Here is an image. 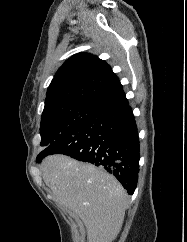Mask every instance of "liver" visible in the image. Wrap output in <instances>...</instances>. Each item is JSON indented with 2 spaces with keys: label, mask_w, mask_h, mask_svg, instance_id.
Wrapping results in <instances>:
<instances>
[{
  "label": "liver",
  "mask_w": 187,
  "mask_h": 242,
  "mask_svg": "<svg viewBox=\"0 0 187 242\" xmlns=\"http://www.w3.org/2000/svg\"><path fill=\"white\" fill-rule=\"evenodd\" d=\"M41 170L56 201L84 222L88 242H112L117 237L128 196L112 175L64 155L47 157Z\"/></svg>",
  "instance_id": "liver-1"
}]
</instances>
